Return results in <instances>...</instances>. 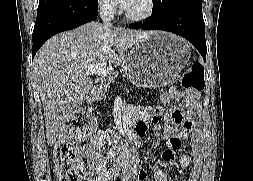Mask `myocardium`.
I'll list each match as a JSON object with an SVG mask.
<instances>
[{
	"mask_svg": "<svg viewBox=\"0 0 253 181\" xmlns=\"http://www.w3.org/2000/svg\"><path fill=\"white\" fill-rule=\"evenodd\" d=\"M156 8L155 0H147V7L146 10L140 14H133L125 10L124 15L126 19L133 21V22H144L150 19Z\"/></svg>",
	"mask_w": 253,
	"mask_h": 181,
	"instance_id": "f54148a6",
	"label": "myocardium"
}]
</instances>
